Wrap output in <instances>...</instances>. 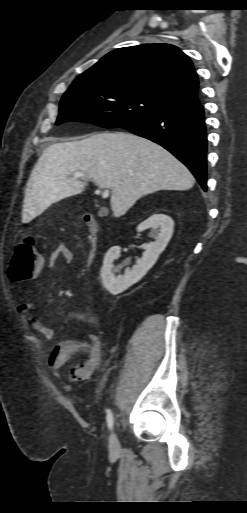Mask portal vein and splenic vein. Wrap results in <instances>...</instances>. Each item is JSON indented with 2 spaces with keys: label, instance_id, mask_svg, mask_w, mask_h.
I'll list each match as a JSON object with an SVG mask.
<instances>
[{
  "label": "portal vein and splenic vein",
  "instance_id": "portal-vein-and-splenic-vein-1",
  "mask_svg": "<svg viewBox=\"0 0 247 513\" xmlns=\"http://www.w3.org/2000/svg\"><path fill=\"white\" fill-rule=\"evenodd\" d=\"M80 177H83V174H82L81 172H75V173L73 174V178H74V179H76V178H80ZM96 186H98V190H97V192H98L99 194H101V196H102L103 198H107V197H108V195H109V190H108V189H105L104 191H101V190L103 189V186H102L101 184H98V183H96Z\"/></svg>",
  "mask_w": 247,
  "mask_h": 513
}]
</instances>
